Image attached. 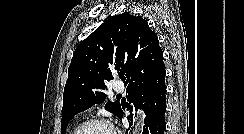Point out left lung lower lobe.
<instances>
[{"label":"left lung lower lobe","mask_w":244,"mask_h":134,"mask_svg":"<svg viewBox=\"0 0 244 134\" xmlns=\"http://www.w3.org/2000/svg\"><path fill=\"white\" fill-rule=\"evenodd\" d=\"M166 85L160 81L138 91H128L127 99L135 109H142L146 114L143 134H164L166 128L164 115L166 111ZM132 107L130 108L132 110ZM123 111L118 118L122 119ZM132 125V114L127 117Z\"/></svg>","instance_id":"left-lung-lower-lobe-1"}]
</instances>
